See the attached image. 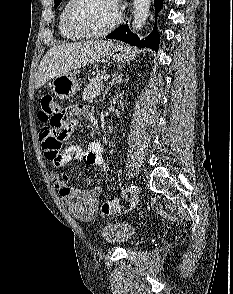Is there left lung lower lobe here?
<instances>
[{
  "instance_id": "1",
  "label": "left lung lower lobe",
  "mask_w": 233,
  "mask_h": 294,
  "mask_svg": "<svg viewBox=\"0 0 233 294\" xmlns=\"http://www.w3.org/2000/svg\"><path fill=\"white\" fill-rule=\"evenodd\" d=\"M154 5H155V11H156L155 26L152 33L145 40L140 41L137 35L133 34L129 30L128 25H124L118 29H115L112 33L107 35L106 38L121 40L123 42H126L130 45L137 46V47H149L157 51L159 47V35L156 29V20H157V14L159 10L161 9L162 0H154Z\"/></svg>"
}]
</instances>
